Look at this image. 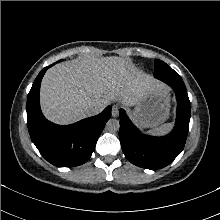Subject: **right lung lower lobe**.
<instances>
[{
	"label": "right lung lower lobe",
	"instance_id": "1",
	"mask_svg": "<svg viewBox=\"0 0 220 220\" xmlns=\"http://www.w3.org/2000/svg\"><path fill=\"white\" fill-rule=\"evenodd\" d=\"M51 66L38 74L28 94V130L33 143L48 162L58 167H75L91 157L98 137L111 117V106L96 116L67 126L46 120L39 105V91L42 77Z\"/></svg>",
	"mask_w": 220,
	"mask_h": 220
}]
</instances>
